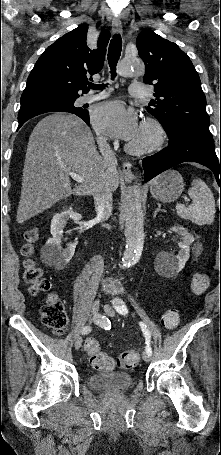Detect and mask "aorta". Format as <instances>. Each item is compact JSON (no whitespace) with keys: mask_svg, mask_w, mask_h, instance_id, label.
Segmentation results:
<instances>
[{"mask_svg":"<svg viewBox=\"0 0 221 455\" xmlns=\"http://www.w3.org/2000/svg\"><path fill=\"white\" fill-rule=\"evenodd\" d=\"M144 71V64L139 58L125 57L119 64V75L122 77L142 75ZM124 211L126 249L122 264L127 267L140 259L144 245V215L139 189L129 194Z\"/></svg>","mask_w":221,"mask_h":455,"instance_id":"762f6f07","label":"aorta"}]
</instances>
